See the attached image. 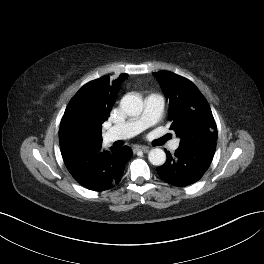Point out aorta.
Returning a JSON list of instances; mask_svg holds the SVG:
<instances>
[{
	"instance_id": "aorta-1",
	"label": "aorta",
	"mask_w": 264,
	"mask_h": 264,
	"mask_svg": "<svg viewBox=\"0 0 264 264\" xmlns=\"http://www.w3.org/2000/svg\"><path fill=\"white\" fill-rule=\"evenodd\" d=\"M121 108L129 115L136 116L143 111V101L136 94H126L120 102ZM148 160L155 166H161L166 161V154L160 148L151 149L148 154Z\"/></svg>"
}]
</instances>
